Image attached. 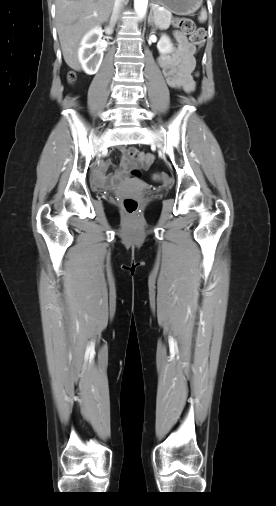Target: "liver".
Masks as SVG:
<instances>
[{
    "instance_id": "1",
    "label": "liver",
    "mask_w": 276,
    "mask_h": 506,
    "mask_svg": "<svg viewBox=\"0 0 276 506\" xmlns=\"http://www.w3.org/2000/svg\"><path fill=\"white\" fill-rule=\"evenodd\" d=\"M115 0H56V27L66 64L78 71V46L81 37L105 23Z\"/></svg>"
}]
</instances>
